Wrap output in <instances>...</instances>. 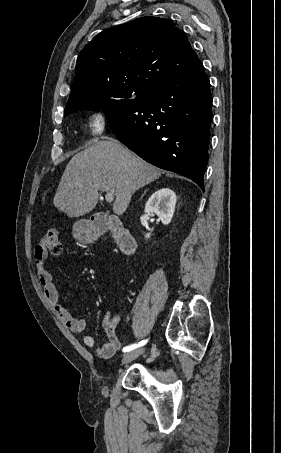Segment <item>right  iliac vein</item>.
Listing matches in <instances>:
<instances>
[{"label":"right iliac vein","mask_w":281,"mask_h":453,"mask_svg":"<svg viewBox=\"0 0 281 453\" xmlns=\"http://www.w3.org/2000/svg\"><path fill=\"white\" fill-rule=\"evenodd\" d=\"M144 350L141 349V348H138V350H135V351H131L130 353H124V357H123V364L124 365H129V363L135 358L138 359V357H140L141 353H143Z\"/></svg>","instance_id":"63e3f726"}]
</instances>
